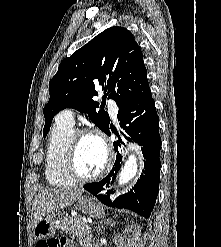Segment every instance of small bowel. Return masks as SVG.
<instances>
[{
  "instance_id": "c3829d8e",
  "label": "small bowel",
  "mask_w": 221,
  "mask_h": 247,
  "mask_svg": "<svg viewBox=\"0 0 221 247\" xmlns=\"http://www.w3.org/2000/svg\"><path fill=\"white\" fill-rule=\"evenodd\" d=\"M40 242H45V240L38 241L37 244ZM37 244H36V247H37ZM63 247H75V246L66 242Z\"/></svg>"
}]
</instances>
